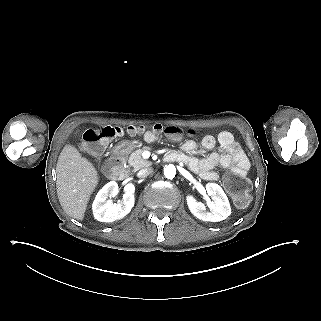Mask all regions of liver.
<instances>
[{
    "label": "liver",
    "instance_id": "1",
    "mask_svg": "<svg viewBox=\"0 0 321 321\" xmlns=\"http://www.w3.org/2000/svg\"><path fill=\"white\" fill-rule=\"evenodd\" d=\"M57 194L60 205L70 217L83 221L90 197L99 184L96 167L72 145H65L57 166Z\"/></svg>",
    "mask_w": 321,
    "mask_h": 321
}]
</instances>
